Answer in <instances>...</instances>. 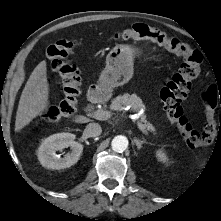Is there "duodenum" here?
<instances>
[{"mask_svg": "<svg viewBox=\"0 0 221 221\" xmlns=\"http://www.w3.org/2000/svg\"><path fill=\"white\" fill-rule=\"evenodd\" d=\"M107 97V91L101 86H95L88 91V99L91 103H99Z\"/></svg>", "mask_w": 221, "mask_h": 221, "instance_id": "1", "label": "duodenum"}]
</instances>
